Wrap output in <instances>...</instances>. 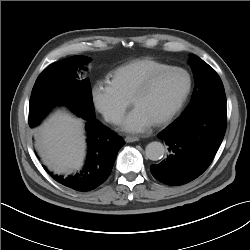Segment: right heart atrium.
Returning <instances> with one entry per match:
<instances>
[{"label": "right heart atrium", "instance_id": "right-heart-atrium-1", "mask_svg": "<svg viewBox=\"0 0 250 250\" xmlns=\"http://www.w3.org/2000/svg\"><path fill=\"white\" fill-rule=\"evenodd\" d=\"M91 100L95 109L111 124H119L129 107V98L119 92L107 79L95 82L91 88Z\"/></svg>", "mask_w": 250, "mask_h": 250}]
</instances>
